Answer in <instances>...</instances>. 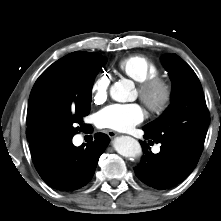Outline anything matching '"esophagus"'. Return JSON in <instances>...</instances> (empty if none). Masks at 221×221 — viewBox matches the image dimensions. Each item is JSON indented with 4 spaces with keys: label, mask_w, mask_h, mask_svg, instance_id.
<instances>
[{
    "label": "esophagus",
    "mask_w": 221,
    "mask_h": 221,
    "mask_svg": "<svg viewBox=\"0 0 221 221\" xmlns=\"http://www.w3.org/2000/svg\"><path fill=\"white\" fill-rule=\"evenodd\" d=\"M106 133L110 138L116 137L118 134L113 130H106Z\"/></svg>",
    "instance_id": "1"
}]
</instances>
